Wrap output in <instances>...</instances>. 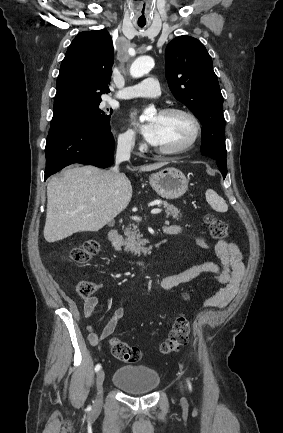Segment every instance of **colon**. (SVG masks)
Returning a JSON list of instances; mask_svg holds the SVG:
<instances>
[{"label": "colon", "mask_w": 283, "mask_h": 433, "mask_svg": "<svg viewBox=\"0 0 283 433\" xmlns=\"http://www.w3.org/2000/svg\"><path fill=\"white\" fill-rule=\"evenodd\" d=\"M208 231L214 239H225L230 234V227L224 220L209 214L205 218ZM99 243L96 240H88L80 247L75 248L71 253V258L77 263H86L99 252ZM95 290V285L89 281L80 282L77 292L82 298L90 297ZM190 324L185 315H178L168 338L161 344L160 351L163 354H170L184 346L189 338ZM111 352L113 356L124 362H135L140 359L141 351L139 348L129 345L128 343L112 339Z\"/></svg>", "instance_id": "1"}]
</instances>
